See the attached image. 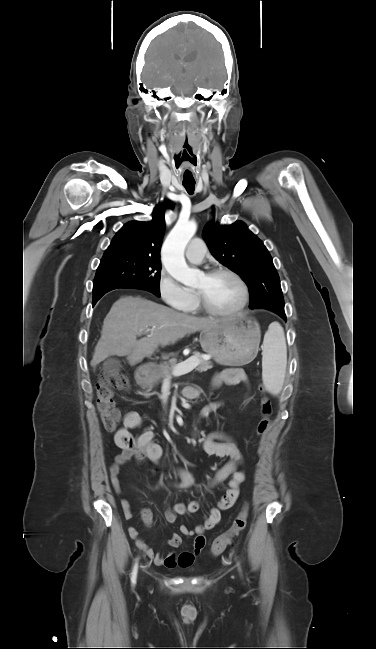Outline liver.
I'll list each match as a JSON object with an SVG mask.
<instances>
[{
    "instance_id": "liver-1",
    "label": "liver",
    "mask_w": 376,
    "mask_h": 649,
    "mask_svg": "<svg viewBox=\"0 0 376 649\" xmlns=\"http://www.w3.org/2000/svg\"><path fill=\"white\" fill-rule=\"evenodd\" d=\"M220 321L179 313L141 297H121L104 319L91 366L96 367L112 355L127 356L129 364L135 365L152 356L159 346L173 344ZM147 330L150 334L137 340Z\"/></svg>"
}]
</instances>
